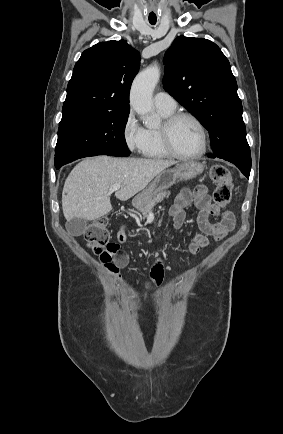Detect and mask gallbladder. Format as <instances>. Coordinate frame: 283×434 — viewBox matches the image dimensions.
Listing matches in <instances>:
<instances>
[{"instance_id": "1", "label": "gallbladder", "mask_w": 283, "mask_h": 434, "mask_svg": "<svg viewBox=\"0 0 283 434\" xmlns=\"http://www.w3.org/2000/svg\"><path fill=\"white\" fill-rule=\"evenodd\" d=\"M66 226L71 235L80 236L87 229V221L81 218H73L67 222Z\"/></svg>"}]
</instances>
